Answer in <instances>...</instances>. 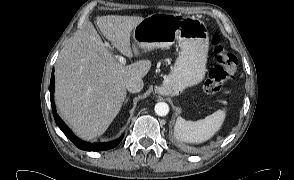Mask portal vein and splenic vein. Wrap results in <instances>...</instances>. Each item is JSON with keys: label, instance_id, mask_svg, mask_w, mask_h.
Instances as JSON below:
<instances>
[{"label": "portal vein and splenic vein", "instance_id": "1", "mask_svg": "<svg viewBox=\"0 0 294 180\" xmlns=\"http://www.w3.org/2000/svg\"><path fill=\"white\" fill-rule=\"evenodd\" d=\"M106 46L109 47V48H111L110 45H109L108 43H106ZM116 57H117L118 61H119L122 65H125V63H126V59H125L123 56H121V55H117Z\"/></svg>", "mask_w": 294, "mask_h": 180}]
</instances>
